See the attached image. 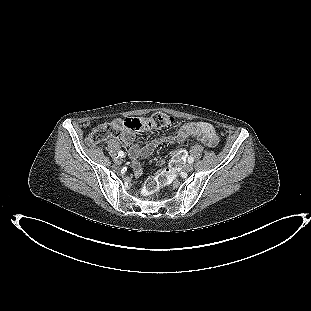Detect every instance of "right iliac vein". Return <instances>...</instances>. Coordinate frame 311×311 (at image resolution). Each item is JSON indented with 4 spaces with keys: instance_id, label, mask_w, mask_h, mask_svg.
Segmentation results:
<instances>
[{
    "instance_id": "right-iliac-vein-1",
    "label": "right iliac vein",
    "mask_w": 311,
    "mask_h": 311,
    "mask_svg": "<svg viewBox=\"0 0 311 311\" xmlns=\"http://www.w3.org/2000/svg\"><path fill=\"white\" fill-rule=\"evenodd\" d=\"M117 164L121 163V158H118V160H115Z\"/></svg>"
}]
</instances>
